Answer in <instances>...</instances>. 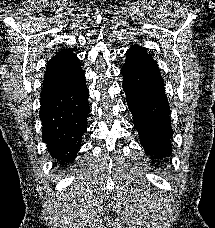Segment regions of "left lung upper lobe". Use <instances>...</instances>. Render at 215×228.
<instances>
[{
  "mask_svg": "<svg viewBox=\"0 0 215 228\" xmlns=\"http://www.w3.org/2000/svg\"><path fill=\"white\" fill-rule=\"evenodd\" d=\"M131 48H139V49H145V48H142V47H137V46H133V47H131Z\"/></svg>",
  "mask_w": 215,
  "mask_h": 228,
  "instance_id": "obj_1",
  "label": "left lung upper lobe"
}]
</instances>
